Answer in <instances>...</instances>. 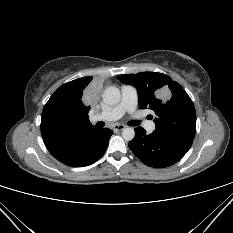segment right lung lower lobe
Instances as JSON below:
<instances>
[{
  "label": "right lung lower lobe",
  "mask_w": 233,
  "mask_h": 233,
  "mask_svg": "<svg viewBox=\"0 0 233 233\" xmlns=\"http://www.w3.org/2000/svg\"><path fill=\"white\" fill-rule=\"evenodd\" d=\"M112 134L113 131L108 128L93 129L68 142L48 136L44 138V144L60 162L72 167H83L102 157Z\"/></svg>",
  "instance_id": "98d812e1"
}]
</instances>
